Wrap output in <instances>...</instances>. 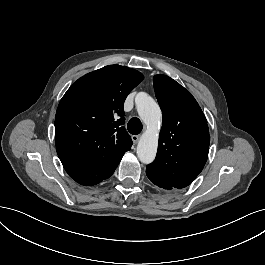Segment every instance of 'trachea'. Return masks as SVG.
<instances>
[{
	"label": "trachea",
	"instance_id": "1",
	"mask_svg": "<svg viewBox=\"0 0 265 265\" xmlns=\"http://www.w3.org/2000/svg\"><path fill=\"white\" fill-rule=\"evenodd\" d=\"M142 123L139 118L133 117L128 121V131L133 134L137 135L142 131Z\"/></svg>",
	"mask_w": 265,
	"mask_h": 265
}]
</instances>
